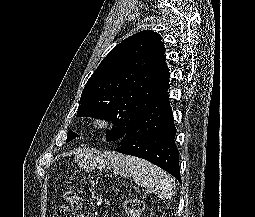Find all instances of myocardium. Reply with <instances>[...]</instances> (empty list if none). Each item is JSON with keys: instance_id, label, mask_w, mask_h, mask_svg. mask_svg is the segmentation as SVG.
Wrapping results in <instances>:
<instances>
[{"instance_id": "obj_1", "label": "myocardium", "mask_w": 255, "mask_h": 217, "mask_svg": "<svg viewBox=\"0 0 255 217\" xmlns=\"http://www.w3.org/2000/svg\"><path fill=\"white\" fill-rule=\"evenodd\" d=\"M88 123H89V127L94 132H105L112 129L115 125V122L111 117L103 115V114L93 115L89 119Z\"/></svg>"}]
</instances>
